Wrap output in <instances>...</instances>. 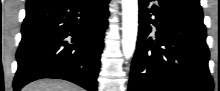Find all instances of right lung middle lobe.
Masks as SVG:
<instances>
[{"mask_svg":"<svg viewBox=\"0 0 220 91\" xmlns=\"http://www.w3.org/2000/svg\"><path fill=\"white\" fill-rule=\"evenodd\" d=\"M32 4H36V3H31L29 0L27 1V6L32 5Z\"/></svg>","mask_w":220,"mask_h":91,"instance_id":"right-lung-middle-lobe-1","label":"right lung middle lobe"}]
</instances>
